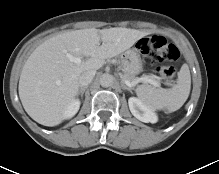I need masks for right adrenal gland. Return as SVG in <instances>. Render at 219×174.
Returning <instances> with one entry per match:
<instances>
[{
    "instance_id": "2a0ac1e0",
    "label": "right adrenal gland",
    "mask_w": 219,
    "mask_h": 174,
    "mask_svg": "<svg viewBox=\"0 0 219 174\" xmlns=\"http://www.w3.org/2000/svg\"><path fill=\"white\" fill-rule=\"evenodd\" d=\"M87 88H88L87 86L81 87L80 90L78 91V95H81V98H83V94Z\"/></svg>"
}]
</instances>
